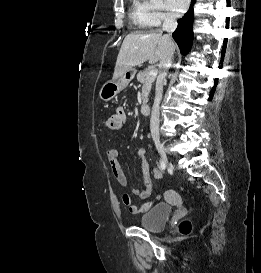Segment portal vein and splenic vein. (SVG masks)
Instances as JSON below:
<instances>
[{
    "instance_id": "portal-vein-and-splenic-vein-1",
    "label": "portal vein and splenic vein",
    "mask_w": 261,
    "mask_h": 273,
    "mask_svg": "<svg viewBox=\"0 0 261 273\" xmlns=\"http://www.w3.org/2000/svg\"><path fill=\"white\" fill-rule=\"evenodd\" d=\"M158 74V70L156 68H152L149 72L148 75L152 77H156Z\"/></svg>"
}]
</instances>
